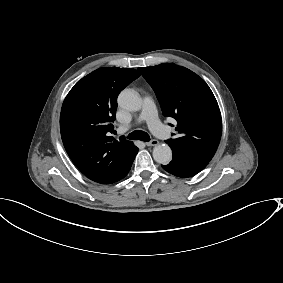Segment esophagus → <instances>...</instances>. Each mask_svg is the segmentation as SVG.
<instances>
[{"label":"esophagus","mask_w":283,"mask_h":283,"mask_svg":"<svg viewBox=\"0 0 283 283\" xmlns=\"http://www.w3.org/2000/svg\"><path fill=\"white\" fill-rule=\"evenodd\" d=\"M159 144L158 140H150L149 142H146V146H156Z\"/></svg>","instance_id":"obj_1"}]
</instances>
